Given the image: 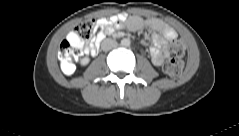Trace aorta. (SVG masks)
<instances>
[{"instance_id": "762f6f07", "label": "aorta", "mask_w": 239, "mask_h": 136, "mask_svg": "<svg viewBox=\"0 0 239 136\" xmlns=\"http://www.w3.org/2000/svg\"><path fill=\"white\" fill-rule=\"evenodd\" d=\"M130 40L128 38H124L121 40V45L124 46V47H128L130 46Z\"/></svg>"}]
</instances>
